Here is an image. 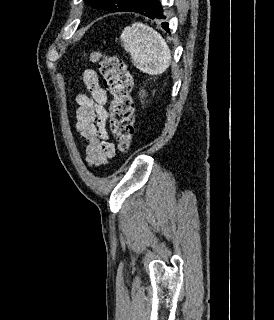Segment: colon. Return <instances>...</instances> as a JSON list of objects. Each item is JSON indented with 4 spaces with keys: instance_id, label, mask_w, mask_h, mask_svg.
I'll list each match as a JSON object with an SVG mask.
<instances>
[{
    "instance_id": "obj_1",
    "label": "colon",
    "mask_w": 274,
    "mask_h": 320,
    "mask_svg": "<svg viewBox=\"0 0 274 320\" xmlns=\"http://www.w3.org/2000/svg\"><path fill=\"white\" fill-rule=\"evenodd\" d=\"M85 57L100 68L103 84L111 95L110 129L120 151L130 149L135 133L134 105L130 95L132 76L127 65L102 49L92 50Z\"/></svg>"
}]
</instances>
